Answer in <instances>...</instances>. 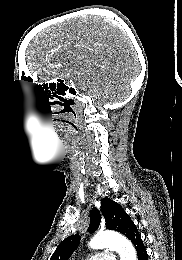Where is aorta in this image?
Masks as SVG:
<instances>
[{"mask_svg":"<svg viewBox=\"0 0 182 260\" xmlns=\"http://www.w3.org/2000/svg\"><path fill=\"white\" fill-rule=\"evenodd\" d=\"M92 249L110 248L118 252L120 260H137L136 251L131 242L116 232L97 233L89 243Z\"/></svg>","mask_w":182,"mask_h":260,"instance_id":"1","label":"aorta"}]
</instances>
